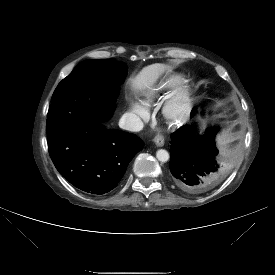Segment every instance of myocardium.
I'll list each match as a JSON object with an SVG mask.
<instances>
[{
    "label": "myocardium",
    "mask_w": 275,
    "mask_h": 275,
    "mask_svg": "<svg viewBox=\"0 0 275 275\" xmlns=\"http://www.w3.org/2000/svg\"><path fill=\"white\" fill-rule=\"evenodd\" d=\"M186 101V85L179 77L161 104L163 117L168 120H179L183 116Z\"/></svg>",
    "instance_id": "myocardium-1"
}]
</instances>
